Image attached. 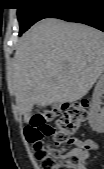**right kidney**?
<instances>
[{"instance_id": "ca27d5eb", "label": "right kidney", "mask_w": 104, "mask_h": 169, "mask_svg": "<svg viewBox=\"0 0 104 169\" xmlns=\"http://www.w3.org/2000/svg\"><path fill=\"white\" fill-rule=\"evenodd\" d=\"M104 97V77L102 76L93 92L91 109L89 113V123L92 129L96 132L104 131V109L101 108L102 99Z\"/></svg>"}]
</instances>
